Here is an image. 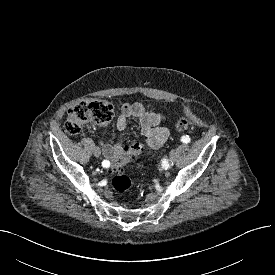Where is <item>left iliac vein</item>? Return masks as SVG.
Listing matches in <instances>:
<instances>
[{
  "label": "left iliac vein",
  "instance_id": "obj_1",
  "mask_svg": "<svg viewBox=\"0 0 275 275\" xmlns=\"http://www.w3.org/2000/svg\"><path fill=\"white\" fill-rule=\"evenodd\" d=\"M176 154H177V152H176L175 149H173V150L170 151V162H169V166L173 165V162H174V160H175V158H176Z\"/></svg>",
  "mask_w": 275,
  "mask_h": 275
}]
</instances>
